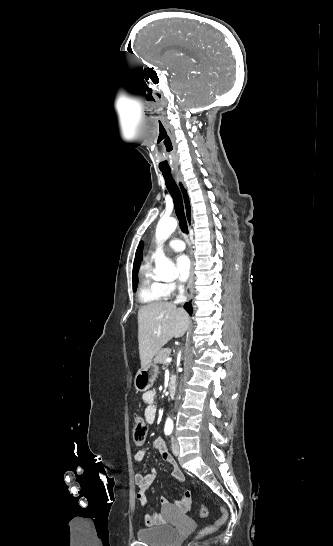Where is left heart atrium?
Returning <instances> with one entry per match:
<instances>
[{"label":"left heart atrium","instance_id":"39dd6f15","mask_svg":"<svg viewBox=\"0 0 333 546\" xmlns=\"http://www.w3.org/2000/svg\"><path fill=\"white\" fill-rule=\"evenodd\" d=\"M175 267L179 279L185 281L191 272L192 263L187 255L181 254L175 258Z\"/></svg>","mask_w":333,"mask_h":546}]
</instances>
